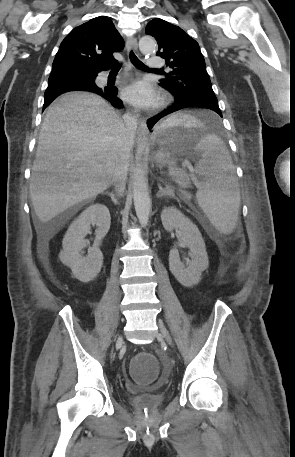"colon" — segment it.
I'll list each match as a JSON object with an SVG mask.
<instances>
[{
  "instance_id": "5ec220e1",
  "label": "colon",
  "mask_w": 295,
  "mask_h": 457,
  "mask_svg": "<svg viewBox=\"0 0 295 457\" xmlns=\"http://www.w3.org/2000/svg\"><path fill=\"white\" fill-rule=\"evenodd\" d=\"M130 374L134 383H155L157 364L153 351H134Z\"/></svg>"
}]
</instances>
